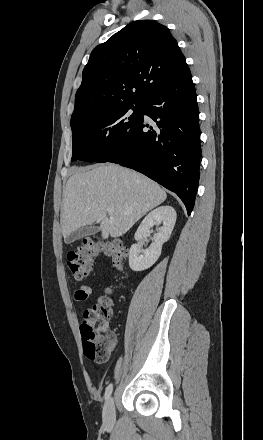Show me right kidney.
I'll return each instance as SVG.
<instances>
[{
  "label": "right kidney",
  "instance_id": "1",
  "mask_svg": "<svg viewBox=\"0 0 263 440\" xmlns=\"http://www.w3.org/2000/svg\"><path fill=\"white\" fill-rule=\"evenodd\" d=\"M176 222V211L171 206H161L151 211L141 222L135 233V240L140 241L149 235L153 225H160V230L153 237V243L143 249L139 243L133 244L129 251V266L133 271L150 268L159 258L162 245L168 241Z\"/></svg>",
  "mask_w": 263,
  "mask_h": 440
}]
</instances>
